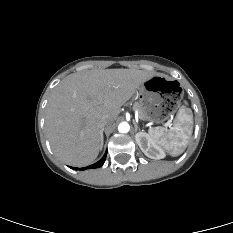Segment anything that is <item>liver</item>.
Listing matches in <instances>:
<instances>
[{
	"label": "liver",
	"mask_w": 233,
	"mask_h": 233,
	"mask_svg": "<svg viewBox=\"0 0 233 233\" xmlns=\"http://www.w3.org/2000/svg\"><path fill=\"white\" fill-rule=\"evenodd\" d=\"M152 76L138 69H105L65 77L46 106L45 128L54 153L67 165L93 163L102 147L98 121L104 117L114 123L121 106Z\"/></svg>",
	"instance_id": "obj_1"
}]
</instances>
